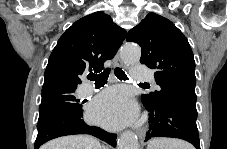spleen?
I'll return each mask as SVG.
<instances>
[{
  "label": "spleen",
  "instance_id": "spleen-1",
  "mask_svg": "<svg viewBox=\"0 0 227 149\" xmlns=\"http://www.w3.org/2000/svg\"><path fill=\"white\" fill-rule=\"evenodd\" d=\"M147 149H192V146L176 139L154 138L148 143Z\"/></svg>",
  "mask_w": 227,
  "mask_h": 149
}]
</instances>
